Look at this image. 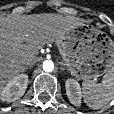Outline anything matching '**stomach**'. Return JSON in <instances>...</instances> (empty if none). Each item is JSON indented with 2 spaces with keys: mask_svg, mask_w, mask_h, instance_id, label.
Returning <instances> with one entry per match:
<instances>
[{
  "mask_svg": "<svg viewBox=\"0 0 114 114\" xmlns=\"http://www.w3.org/2000/svg\"><path fill=\"white\" fill-rule=\"evenodd\" d=\"M57 44L67 69L79 79L93 82L114 67V42L90 24L69 29Z\"/></svg>",
  "mask_w": 114,
  "mask_h": 114,
  "instance_id": "obj_1",
  "label": "stomach"
}]
</instances>
